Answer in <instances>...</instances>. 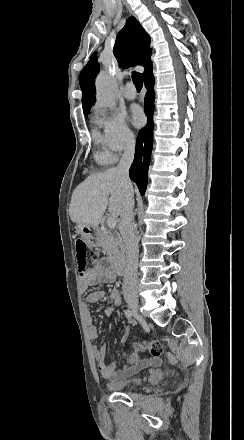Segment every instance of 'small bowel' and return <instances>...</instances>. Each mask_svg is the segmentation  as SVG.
Instances as JSON below:
<instances>
[{"label":"small bowel","mask_w":244,"mask_h":440,"mask_svg":"<svg viewBox=\"0 0 244 440\" xmlns=\"http://www.w3.org/2000/svg\"><path fill=\"white\" fill-rule=\"evenodd\" d=\"M115 280V274L104 259L99 260L95 267L88 269L80 279V289L85 292L90 287L101 284L110 283ZM105 296V292L102 290H94L87 294L86 303L94 304L102 300ZM109 298L115 305L121 303V292L117 287L110 290ZM83 319L87 328V333L90 339H96L98 336V328L94 322L93 316L85 306L83 308ZM131 333L130 327H127L124 331L123 339L125 340ZM143 347L140 343H134L132 346L131 354H124L125 362L122 365L117 363L107 364L105 361L106 348L104 345H98L93 348V355L97 362V368L102 378L109 381H125L144 368L150 365H157L158 362L155 357L142 358L139 353Z\"/></svg>","instance_id":"c3829d8e"}]
</instances>
